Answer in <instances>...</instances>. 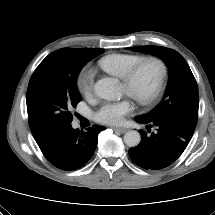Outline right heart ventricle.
<instances>
[{
  "mask_svg": "<svg viewBox=\"0 0 215 215\" xmlns=\"http://www.w3.org/2000/svg\"><path fill=\"white\" fill-rule=\"evenodd\" d=\"M143 58L133 53H113L99 60L100 67L107 73L123 79L129 69Z\"/></svg>",
  "mask_w": 215,
  "mask_h": 215,
  "instance_id": "obj_1",
  "label": "right heart ventricle"
}]
</instances>
